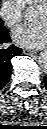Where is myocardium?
Here are the masks:
<instances>
[{"label": "myocardium", "mask_w": 47, "mask_h": 129, "mask_svg": "<svg viewBox=\"0 0 47 129\" xmlns=\"http://www.w3.org/2000/svg\"><path fill=\"white\" fill-rule=\"evenodd\" d=\"M39 7H43L44 9H45V11L47 10V0H44L42 3H40L39 5H38ZM46 13H47V11H46Z\"/></svg>", "instance_id": "obj_1"}]
</instances>
